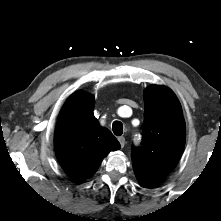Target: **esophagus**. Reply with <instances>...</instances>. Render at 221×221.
I'll return each mask as SVG.
<instances>
[{
    "mask_svg": "<svg viewBox=\"0 0 221 221\" xmlns=\"http://www.w3.org/2000/svg\"><path fill=\"white\" fill-rule=\"evenodd\" d=\"M118 141H119L121 147L123 148L125 145V138L123 136H121L118 138Z\"/></svg>",
    "mask_w": 221,
    "mask_h": 221,
    "instance_id": "obj_1",
    "label": "esophagus"
}]
</instances>
